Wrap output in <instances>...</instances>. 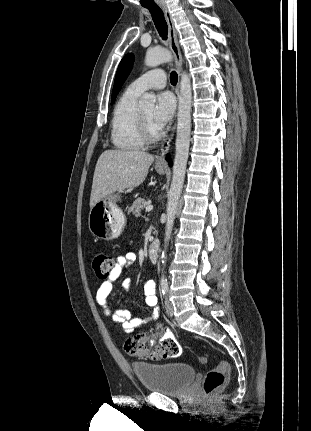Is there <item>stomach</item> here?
I'll use <instances>...</instances> for the list:
<instances>
[{
    "instance_id": "0dacf381",
    "label": "stomach",
    "mask_w": 311,
    "mask_h": 431,
    "mask_svg": "<svg viewBox=\"0 0 311 431\" xmlns=\"http://www.w3.org/2000/svg\"><path fill=\"white\" fill-rule=\"evenodd\" d=\"M155 170L160 176L166 174L165 168L155 166ZM121 198V192L110 194L91 208L88 216V227L91 233L99 239H116L121 235L126 225V216L118 206Z\"/></svg>"
}]
</instances>
